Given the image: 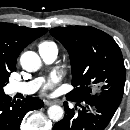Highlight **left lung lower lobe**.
<instances>
[{
  "label": "left lung lower lobe",
  "instance_id": "0a47b994",
  "mask_svg": "<svg viewBox=\"0 0 130 130\" xmlns=\"http://www.w3.org/2000/svg\"><path fill=\"white\" fill-rule=\"evenodd\" d=\"M75 102L80 109L77 106L70 109L64 102L65 116L54 125L53 130H104L119 106L96 97Z\"/></svg>",
  "mask_w": 130,
  "mask_h": 130
}]
</instances>
